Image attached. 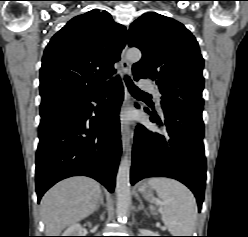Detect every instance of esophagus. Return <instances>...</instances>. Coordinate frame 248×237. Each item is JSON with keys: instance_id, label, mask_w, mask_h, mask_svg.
I'll return each mask as SVG.
<instances>
[{"instance_id": "1", "label": "esophagus", "mask_w": 248, "mask_h": 237, "mask_svg": "<svg viewBox=\"0 0 248 237\" xmlns=\"http://www.w3.org/2000/svg\"><path fill=\"white\" fill-rule=\"evenodd\" d=\"M127 49L128 46L126 45L125 48L122 50L121 53V69L125 75H130L131 72V65L127 59ZM130 100V95L125 88V96H124V103L123 106H126L129 103ZM131 138H132V133L129 125L127 124H122L121 126V140H122V147L124 152L130 151L131 148Z\"/></svg>"}]
</instances>
